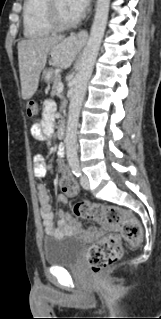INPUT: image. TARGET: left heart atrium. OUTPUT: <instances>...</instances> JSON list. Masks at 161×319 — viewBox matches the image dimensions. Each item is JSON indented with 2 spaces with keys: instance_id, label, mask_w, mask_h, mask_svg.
<instances>
[{
  "instance_id": "left-heart-atrium-1",
  "label": "left heart atrium",
  "mask_w": 161,
  "mask_h": 319,
  "mask_svg": "<svg viewBox=\"0 0 161 319\" xmlns=\"http://www.w3.org/2000/svg\"><path fill=\"white\" fill-rule=\"evenodd\" d=\"M71 10L77 15H81L89 4L90 0H67Z\"/></svg>"
}]
</instances>
